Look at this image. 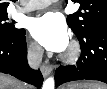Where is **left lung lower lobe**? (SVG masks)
<instances>
[{"label": "left lung lower lobe", "instance_id": "obj_1", "mask_svg": "<svg viewBox=\"0 0 107 89\" xmlns=\"http://www.w3.org/2000/svg\"><path fill=\"white\" fill-rule=\"evenodd\" d=\"M82 54L76 65L60 66L55 73L56 86L74 80H98L107 83V26H97L77 36Z\"/></svg>", "mask_w": 107, "mask_h": 89}]
</instances>
